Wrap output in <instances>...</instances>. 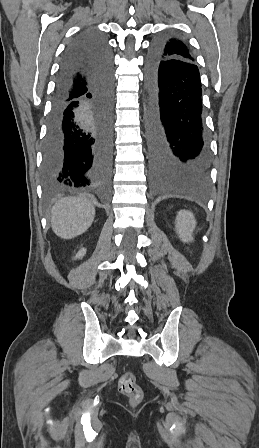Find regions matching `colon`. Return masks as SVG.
Masks as SVG:
<instances>
[{
  "label": "colon",
  "instance_id": "colon-1",
  "mask_svg": "<svg viewBox=\"0 0 259 448\" xmlns=\"http://www.w3.org/2000/svg\"><path fill=\"white\" fill-rule=\"evenodd\" d=\"M119 390L128 396L130 404L137 406L142 398L143 392L136 382V378L131 372H125L119 379Z\"/></svg>",
  "mask_w": 259,
  "mask_h": 448
}]
</instances>
